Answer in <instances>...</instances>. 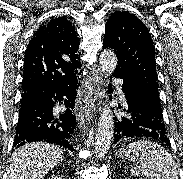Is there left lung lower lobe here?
I'll list each match as a JSON object with an SVG mask.
<instances>
[{
    "label": "left lung lower lobe",
    "instance_id": "1",
    "mask_svg": "<svg viewBox=\"0 0 183 179\" xmlns=\"http://www.w3.org/2000/svg\"><path fill=\"white\" fill-rule=\"evenodd\" d=\"M123 79L122 90L127 100V117H115V142L124 138L146 137L160 140L170 146L162 116L146 105L135 87L124 76L114 74Z\"/></svg>",
    "mask_w": 183,
    "mask_h": 179
}]
</instances>
